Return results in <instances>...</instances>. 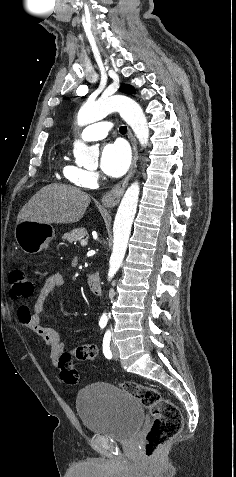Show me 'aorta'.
Listing matches in <instances>:
<instances>
[{
    "mask_svg": "<svg viewBox=\"0 0 236 477\" xmlns=\"http://www.w3.org/2000/svg\"><path fill=\"white\" fill-rule=\"evenodd\" d=\"M115 111L119 112L120 116L132 128L140 144L146 146L149 140V128L146 116L140 105L127 96L114 95L107 98H100L93 103L84 104L78 112L77 123L79 126H85L99 121ZM73 153L77 159L85 162L97 159L99 150L76 140L74 142ZM139 192L140 187L138 182L132 183L127 188L119 205L113 226L114 245L109 260V280L114 277L124 259L137 209ZM103 316L105 317V314Z\"/></svg>",
    "mask_w": 236,
    "mask_h": 477,
    "instance_id": "1",
    "label": "aorta"
}]
</instances>
